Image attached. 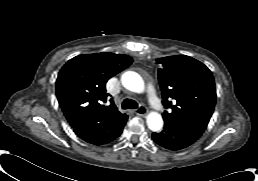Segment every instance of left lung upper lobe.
<instances>
[{
  "instance_id": "left-lung-upper-lobe-1",
  "label": "left lung upper lobe",
  "mask_w": 258,
  "mask_h": 181,
  "mask_svg": "<svg viewBox=\"0 0 258 181\" xmlns=\"http://www.w3.org/2000/svg\"><path fill=\"white\" fill-rule=\"evenodd\" d=\"M162 65L158 79L165 122L184 125L204 132L215 103V82L211 71L198 60L176 55L156 60Z\"/></svg>"
}]
</instances>
